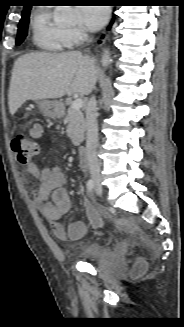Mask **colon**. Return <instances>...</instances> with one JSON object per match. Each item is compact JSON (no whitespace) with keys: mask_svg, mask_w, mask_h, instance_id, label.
<instances>
[{"mask_svg":"<svg viewBox=\"0 0 184 327\" xmlns=\"http://www.w3.org/2000/svg\"><path fill=\"white\" fill-rule=\"evenodd\" d=\"M11 146L18 161L22 164H29L41 152L40 142L36 138L29 137L24 133H17L12 139ZM86 213L92 227H101L103 225L102 217L93 207L87 205ZM144 269V264L140 263L137 265L138 272H143Z\"/></svg>","mask_w":184,"mask_h":327,"instance_id":"1","label":"colon"}]
</instances>
